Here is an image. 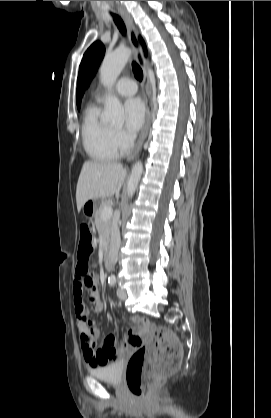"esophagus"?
I'll return each mask as SVG.
<instances>
[{
	"label": "esophagus",
	"mask_w": 271,
	"mask_h": 418,
	"mask_svg": "<svg viewBox=\"0 0 271 418\" xmlns=\"http://www.w3.org/2000/svg\"><path fill=\"white\" fill-rule=\"evenodd\" d=\"M118 11L126 23L129 41L132 45L135 59L143 70V94H144V99L146 103V121L141 131V134L138 138L137 145H136V150H139L148 134L151 121H152L153 104H152V99H151V87H150V81H149L148 71L146 67L147 62L144 57L143 48L139 40L138 30L131 16L124 9L119 8Z\"/></svg>",
	"instance_id": "esophagus-1"
}]
</instances>
